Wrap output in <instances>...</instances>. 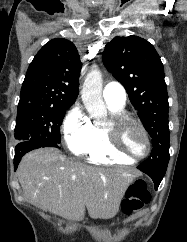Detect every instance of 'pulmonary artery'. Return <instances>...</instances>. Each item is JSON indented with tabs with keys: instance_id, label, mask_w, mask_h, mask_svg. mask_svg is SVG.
<instances>
[{
	"instance_id": "pulmonary-artery-1",
	"label": "pulmonary artery",
	"mask_w": 187,
	"mask_h": 242,
	"mask_svg": "<svg viewBox=\"0 0 187 242\" xmlns=\"http://www.w3.org/2000/svg\"><path fill=\"white\" fill-rule=\"evenodd\" d=\"M103 99L112 109H121L126 104V91L118 82H110L103 89Z\"/></svg>"
}]
</instances>
